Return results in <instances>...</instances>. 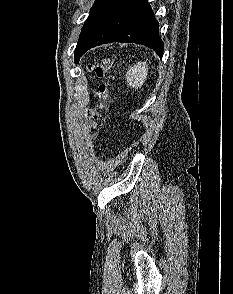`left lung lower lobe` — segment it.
<instances>
[{
  "mask_svg": "<svg viewBox=\"0 0 233 294\" xmlns=\"http://www.w3.org/2000/svg\"><path fill=\"white\" fill-rule=\"evenodd\" d=\"M158 31L148 0H112L84 41L78 60L92 47L111 42L142 44L161 58L164 44Z\"/></svg>",
  "mask_w": 233,
  "mask_h": 294,
  "instance_id": "obj_1",
  "label": "left lung lower lobe"
}]
</instances>
